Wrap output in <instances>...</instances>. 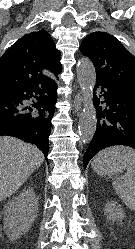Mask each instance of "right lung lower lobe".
Instances as JSON below:
<instances>
[{"label":"right lung lower lobe","mask_w":135,"mask_h":249,"mask_svg":"<svg viewBox=\"0 0 135 249\" xmlns=\"http://www.w3.org/2000/svg\"><path fill=\"white\" fill-rule=\"evenodd\" d=\"M56 91L57 84L54 80L41 85L0 89V135L17 137L37 145L47 160ZM33 99L36 102L33 101L32 106L37 109L38 114L24 103L25 100Z\"/></svg>","instance_id":"obj_1"}]
</instances>
